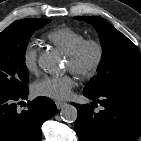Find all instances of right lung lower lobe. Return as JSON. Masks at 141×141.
Returning <instances> with one entry per match:
<instances>
[{"label":"right lung lower lobe","mask_w":141,"mask_h":141,"mask_svg":"<svg viewBox=\"0 0 141 141\" xmlns=\"http://www.w3.org/2000/svg\"><path fill=\"white\" fill-rule=\"evenodd\" d=\"M29 90L15 94H0V141H41L42 124L57 113L55 103L47 97L29 101L19 112L17 105L27 99Z\"/></svg>","instance_id":"right-lung-lower-lobe-1"}]
</instances>
